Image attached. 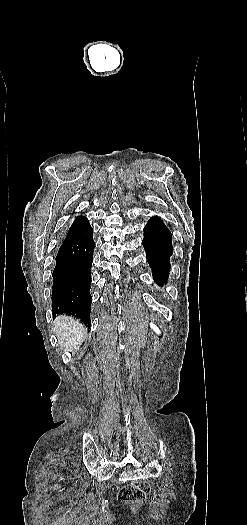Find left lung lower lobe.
<instances>
[{"mask_svg":"<svg viewBox=\"0 0 247 525\" xmlns=\"http://www.w3.org/2000/svg\"><path fill=\"white\" fill-rule=\"evenodd\" d=\"M171 238L170 231L157 216L151 218L144 227L142 244L153 277L160 286L166 282L170 271L169 257L173 252Z\"/></svg>","mask_w":247,"mask_h":525,"instance_id":"obj_1","label":"left lung lower lobe"}]
</instances>
